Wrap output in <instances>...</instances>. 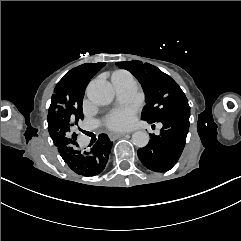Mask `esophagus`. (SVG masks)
I'll return each instance as SVG.
<instances>
[{"mask_svg": "<svg viewBox=\"0 0 241 241\" xmlns=\"http://www.w3.org/2000/svg\"><path fill=\"white\" fill-rule=\"evenodd\" d=\"M123 136H125V133H110V134H109V138H110L112 141H114V140H116V139H118V138H121V137H123Z\"/></svg>", "mask_w": 241, "mask_h": 241, "instance_id": "34e87169", "label": "esophagus"}]
</instances>
